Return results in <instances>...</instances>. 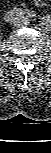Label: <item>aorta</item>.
Masks as SVG:
<instances>
[{"label": "aorta", "instance_id": "1", "mask_svg": "<svg viewBox=\"0 0 51 153\" xmlns=\"http://www.w3.org/2000/svg\"><path fill=\"white\" fill-rule=\"evenodd\" d=\"M40 26L43 29L50 30L51 29V19L49 15L43 16L40 19Z\"/></svg>", "mask_w": 51, "mask_h": 153}]
</instances>
